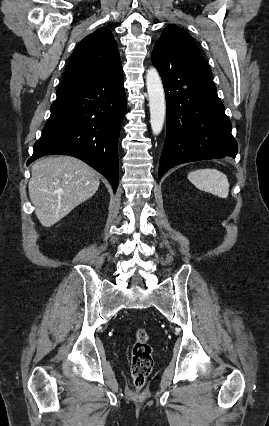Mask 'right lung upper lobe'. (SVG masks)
Returning <instances> with one entry per match:
<instances>
[{"label": "right lung upper lobe", "mask_w": 269, "mask_h": 426, "mask_svg": "<svg viewBox=\"0 0 269 426\" xmlns=\"http://www.w3.org/2000/svg\"><path fill=\"white\" fill-rule=\"evenodd\" d=\"M122 71L111 31L105 27L86 36L72 53L60 86L97 81Z\"/></svg>", "instance_id": "obj_1"}]
</instances>
